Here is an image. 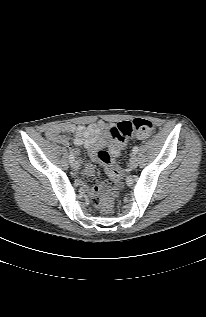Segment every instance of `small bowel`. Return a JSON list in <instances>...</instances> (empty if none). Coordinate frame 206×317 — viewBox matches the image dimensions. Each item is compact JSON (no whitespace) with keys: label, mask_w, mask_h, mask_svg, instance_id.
Segmentation results:
<instances>
[{"label":"small bowel","mask_w":206,"mask_h":317,"mask_svg":"<svg viewBox=\"0 0 206 317\" xmlns=\"http://www.w3.org/2000/svg\"><path fill=\"white\" fill-rule=\"evenodd\" d=\"M67 133L74 135V144L84 147L92 159H96L97 151L105 147L109 149L112 157H117L120 153L119 146L110 142L109 126L102 120L87 126L74 124L53 125L47 129L46 136L53 142L67 145L69 143V138L66 136ZM93 173V166L86 164L84 174L91 176ZM98 193L99 189L97 186L92 187L88 192L89 197L95 203L98 201Z\"/></svg>","instance_id":"obj_1"}]
</instances>
